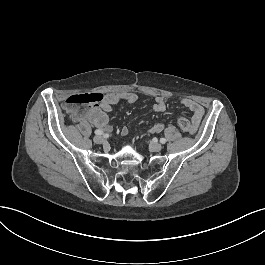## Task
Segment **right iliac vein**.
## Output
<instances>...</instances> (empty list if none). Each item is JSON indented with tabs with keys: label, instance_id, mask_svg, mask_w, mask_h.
<instances>
[{
	"label": "right iliac vein",
	"instance_id": "1",
	"mask_svg": "<svg viewBox=\"0 0 265 265\" xmlns=\"http://www.w3.org/2000/svg\"><path fill=\"white\" fill-rule=\"evenodd\" d=\"M93 140L95 143L100 144V143L104 142V137L101 135H96V136H94Z\"/></svg>",
	"mask_w": 265,
	"mask_h": 265
}]
</instances>
